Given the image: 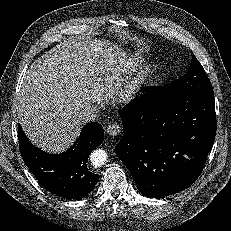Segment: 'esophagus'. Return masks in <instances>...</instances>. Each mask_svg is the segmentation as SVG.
Returning <instances> with one entry per match:
<instances>
[{"instance_id":"esophagus-1","label":"esophagus","mask_w":231,"mask_h":231,"mask_svg":"<svg viewBox=\"0 0 231 231\" xmlns=\"http://www.w3.org/2000/svg\"><path fill=\"white\" fill-rule=\"evenodd\" d=\"M121 126L117 123H110L106 129L107 134L112 137H116L121 133Z\"/></svg>"}]
</instances>
